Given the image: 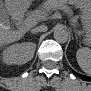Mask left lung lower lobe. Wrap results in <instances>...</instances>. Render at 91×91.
<instances>
[{"label":"left lung lower lobe","mask_w":91,"mask_h":91,"mask_svg":"<svg viewBox=\"0 0 91 91\" xmlns=\"http://www.w3.org/2000/svg\"><path fill=\"white\" fill-rule=\"evenodd\" d=\"M74 72V71H73ZM75 74H77L76 72H74ZM79 75V74H78ZM80 77H82L81 75H79Z\"/></svg>","instance_id":"0a47b994"}]
</instances>
